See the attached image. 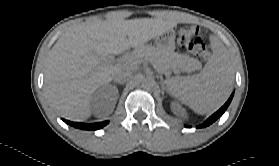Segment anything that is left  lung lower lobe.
Wrapping results in <instances>:
<instances>
[{
	"instance_id": "1",
	"label": "left lung lower lobe",
	"mask_w": 279,
	"mask_h": 166,
	"mask_svg": "<svg viewBox=\"0 0 279 166\" xmlns=\"http://www.w3.org/2000/svg\"><path fill=\"white\" fill-rule=\"evenodd\" d=\"M232 98H233V94L231 95L229 100L224 104V106H222L216 113H214L210 118H208L203 124L197 126V128L209 126L214 121H216L225 112V110L229 106Z\"/></svg>"
}]
</instances>
